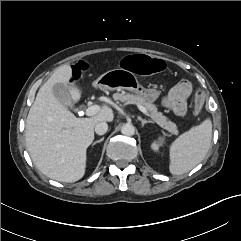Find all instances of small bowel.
<instances>
[{"label": "small bowel", "instance_id": "c3829d8e", "mask_svg": "<svg viewBox=\"0 0 241 241\" xmlns=\"http://www.w3.org/2000/svg\"><path fill=\"white\" fill-rule=\"evenodd\" d=\"M192 91L193 87L191 82L187 79H182L169 94L163 98L162 103L175 115L183 117L187 112V100Z\"/></svg>", "mask_w": 241, "mask_h": 241}]
</instances>
